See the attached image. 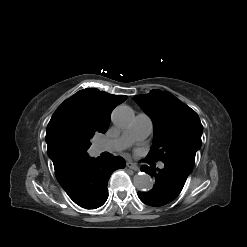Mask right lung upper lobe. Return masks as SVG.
Returning <instances> with one entry per match:
<instances>
[{"mask_svg":"<svg viewBox=\"0 0 247 247\" xmlns=\"http://www.w3.org/2000/svg\"><path fill=\"white\" fill-rule=\"evenodd\" d=\"M95 88L80 90L54 112L46 130L47 152L54 168L85 161L96 132L105 133L113 108L126 100Z\"/></svg>","mask_w":247,"mask_h":247,"instance_id":"right-lung-upper-lobe-1","label":"right lung upper lobe"}]
</instances>
